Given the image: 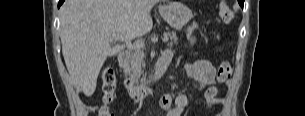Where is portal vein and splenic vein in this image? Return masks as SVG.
Here are the masks:
<instances>
[{"mask_svg": "<svg viewBox=\"0 0 305 116\" xmlns=\"http://www.w3.org/2000/svg\"><path fill=\"white\" fill-rule=\"evenodd\" d=\"M108 36H109L110 38H112V39L124 41V42L127 44V46H128L129 48L141 49V48H144V47H145L144 42L138 41V42L132 44L130 41H128V40H127L123 35H121V34H108ZM168 39H169L168 36H164L163 41H164V42H167Z\"/></svg>", "mask_w": 305, "mask_h": 116, "instance_id": "obj_1", "label": "portal vein and splenic vein"}]
</instances>
